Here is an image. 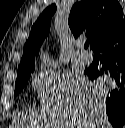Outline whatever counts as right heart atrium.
<instances>
[{"instance_id": "d8ad5b80", "label": "right heart atrium", "mask_w": 125, "mask_h": 128, "mask_svg": "<svg viewBox=\"0 0 125 128\" xmlns=\"http://www.w3.org/2000/svg\"><path fill=\"white\" fill-rule=\"evenodd\" d=\"M57 79L51 70H39L33 75L35 94L41 103L46 102L54 93Z\"/></svg>"}]
</instances>
